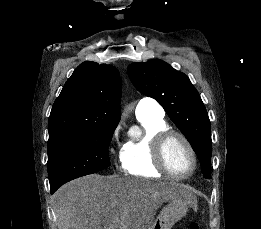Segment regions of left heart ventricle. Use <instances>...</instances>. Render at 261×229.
<instances>
[{
    "label": "left heart ventricle",
    "mask_w": 261,
    "mask_h": 229,
    "mask_svg": "<svg viewBox=\"0 0 261 229\" xmlns=\"http://www.w3.org/2000/svg\"><path fill=\"white\" fill-rule=\"evenodd\" d=\"M166 157L169 166L179 174L186 173L192 166V158L186 145L179 139L173 140L167 147Z\"/></svg>",
    "instance_id": "left-heart-ventricle-1"
}]
</instances>
